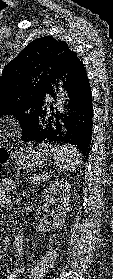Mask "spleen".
Listing matches in <instances>:
<instances>
[{
    "instance_id": "spleen-1",
    "label": "spleen",
    "mask_w": 113,
    "mask_h": 279,
    "mask_svg": "<svg viewBox=\"0 0 113 279\" xmlns=\"http://www.w3.org/2000/svg\"><path fill=\"white\" fill-rule=\"evenodd\" d=\"M40 146L52 154L53 159L61 172L74 171L81 160L78 150L69 145H52L41 143Z\"/></svg>"
}]
</instances>
